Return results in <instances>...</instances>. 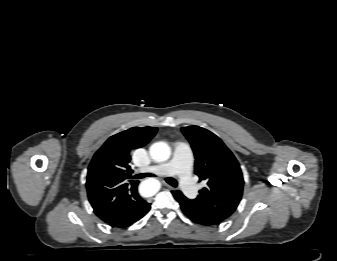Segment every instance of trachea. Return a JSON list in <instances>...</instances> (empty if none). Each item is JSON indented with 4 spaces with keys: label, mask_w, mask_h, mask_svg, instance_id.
<instances>
[{
    "label": "trachea",
    "mask_w": 337,
    "mask_h": 261,
    "mask_svg": "<svg viewBox=\"0 0 337 261\" xmlns=\"http://www.w3.org/2000/svg\"><path fill=\"white\" fill-rule=\"evenodd\" d=\"M149 176H152V174L144 173V174L135 175L134 178H136V179H142V178L149 177ZM166 182L168 184H170L171 186H173V187H177V181L175 179H173V178H167Z\"/></svg>",
    "instance_id": "obj_1"
}]
</instances>
